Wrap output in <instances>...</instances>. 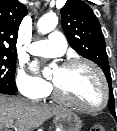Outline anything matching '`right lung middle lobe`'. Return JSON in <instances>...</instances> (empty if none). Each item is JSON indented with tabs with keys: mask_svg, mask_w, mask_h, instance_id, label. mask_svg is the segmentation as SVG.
Returning a JSON list of instances; mask_svg holds the SVG:
<instances>
[{
	"mask_svg": "<svg viewBox=\"0 0 117 131\" xmlns=\"http://www.w3.org/2000/svg\"><path fill=\"white\" fill-rule=\"evenodd\" d=\"M15 55L0 52V90L14 94L17 92L15 84Z\"/></svg>",
	"mask_w": 117,
	"mask_h": 131,
	"instance_id": "obj_1",
	"label": "right lung middle lobe"
}]
</instances>
